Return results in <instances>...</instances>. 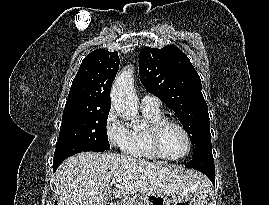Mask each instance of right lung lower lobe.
<instances>
[{"mask_svg": "<svg viewBox=\"0 0 269 205\" xmlns=\"http://www.w3.org/2000/svg\"><path fill=\"white\" fill-rule=\"evenodd\" d=\"M86 151L103 152L106 150L94 146H81V145H65L57 147L54 154L53 171H56L59 165L69 156Z\"/></svg>", "mask_w": 269, "mask_h": 205, "instance_id": "right-lung-lower-lobe-1", "label": "right lung lower lobe"}]
</instances>
